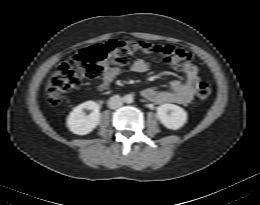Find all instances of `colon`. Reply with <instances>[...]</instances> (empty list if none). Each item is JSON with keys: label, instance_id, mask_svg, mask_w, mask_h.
<instances>
[{"label": "colon", "instance_id": "obj_1", "mask_svg": "<svg viewBox=\"0 0 260 205\" xmlns=\"http://www.w3.org/2000/svg\"><path fill=\"white\" fill-rule=\"evenodd\" d=\"M137 54H153L174 69L183 70L191 60V55L172 45H155L138 40H111L80 50L73 58L58 65L52 72L45 89L51 105H57L71 89L79 87L85 80L98 78L103 71V63L126 65ZM211 94L208 82L196 85L197 98L204 100Z\"/></svg>", "mask_w": 260, "mask_h": 205}]
</instances>
